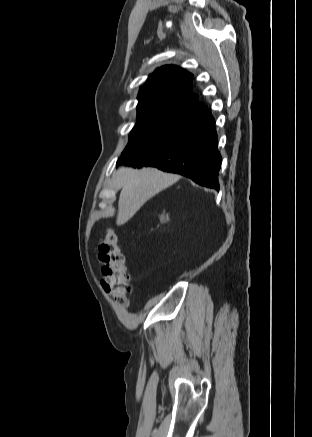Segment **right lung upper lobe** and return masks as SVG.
<instances>
[{"label": "right lung upper lobe", "mask_w": 312, "mask_h": 437, "mask_svg": "<svg viewBox=\"0 0 312 437\" xmlns=\"http://www.w3.org/2000/svg\"><path fill=\"white\" fill-rule=\"evenodd\" d=\"M193 75L172 65L157 68L138 94V107L163 105L203 114L208 109L192 93Z\"/></svg>", "instance_id": "1"}]
</instances>
